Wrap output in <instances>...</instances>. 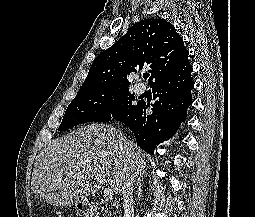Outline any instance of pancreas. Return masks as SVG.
Instances as JSON below:
<instances>
[{"mask_svg":"<svg viewBox=\"0 0 255 217\" xmlns=\"http://www.w3.org/2000/svg\"><path fill=\"white\" fill-rule=\"evenodd\" d=\"M102 212H104V213H109V211L108 210H105V211H102ZM109 216V215H108Z\"/></svg>","mask_w":255,"mask_h":217,"instance_id":"cf45deb5","label":"pancreas"}]
</instances>
